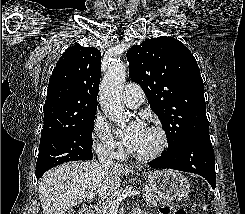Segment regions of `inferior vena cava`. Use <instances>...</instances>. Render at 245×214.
<instances>
[{"label":"inferior vena cava","instance_id":"602c4592","mask_svg":"<svg viewBox=\"0 0 245 214\" xmlns=\"http://www.w3.org/2000/svg\"><path fill=\"white\" fill-rule=\"evenodd\" d=\"M108 154L109 153L106 151L105 146L101 147V153L99 154L98 159L101 165L105 167L113 165V162L108 158Z\"/></svg>","mask_w":245,"mask_h":214}]
</instances>
